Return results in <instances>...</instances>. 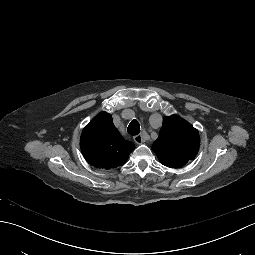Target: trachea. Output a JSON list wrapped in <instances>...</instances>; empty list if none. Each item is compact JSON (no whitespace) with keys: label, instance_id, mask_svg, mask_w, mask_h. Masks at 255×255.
<instances>
[{"label":"trachea","instance_id":"obj_1","mask_svg":"<svg viewBox=\"0 0 255 255\" xmlns=\"http://www.w3.org/2000/svg\"><path fill=\"white\" fill-rule=\"evenodd\" d=\"M127 131L130 135L134 136V135H138L140 133V126L137 120H133L131 121V123L129 124Z\"/></svg>","mask_w":255,"mask_h":255}]
</instances>
